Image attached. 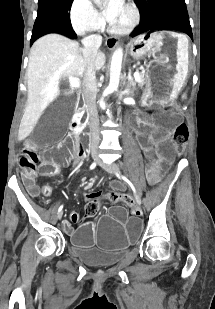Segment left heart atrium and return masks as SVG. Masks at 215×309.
Segmentation results:
<instances>
[{"label":"left heart atrium","mask_w":215,"mask_h":309,"mask_svg":"<svg viewBox=\"0 0 215 309\" xmlns=\"http://www.w3.org/2000/svg\"><path fill=\"white\" fill-rule=\"evenodd\" d=\"M105 5L112 8L104 10V22L106 23L107 20H120L123 15V0H106Z\"/></svg>","instance_id":"1"}]
</instances>
